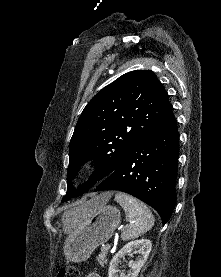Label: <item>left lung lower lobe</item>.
Masks as SVG:
<instances>
[{"label": "left lung lower lobe", "mask_w": 221, "mask_h": 277, "mask_svg": "<svg viewBox=\"0 0 221 277\" xmlns=\"http://www.w3.org/2000/svg\"><path fill=\"white\" fill-rule=\"evenodd\" d=\"M178 155L177 122L171 110L128 151L95 191L118 190L133 195L153 207L164 225L175 206Z\"/></svg>", "instance_id": "1"}]
</instances>
